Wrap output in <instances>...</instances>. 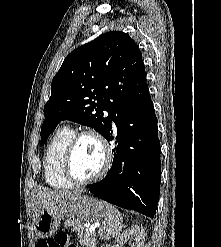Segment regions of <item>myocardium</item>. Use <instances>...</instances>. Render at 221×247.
<instances>
[{"label": "myocardium", "mask_w": 221, "mask_h": 247, "mask_svg": "<svg viewBox=\"0 0 221 247\" xmlns=\"http://www.w3.org/2000/svg\"><path fill=\"white\" fill-rule=\"evenodd\" d=\"M85 137H90L99 144L103 154V164L101 169L95 175L89 178L79 179L75 176L73 172L72 159L78 143L80 142L81 139ZM112 161H113L112 149L106 138L95 130L85 129L75 133L72 139L70 140L63 157V173L67 178V180L70 181L72 184L86 185L96 182L101 178H103L109 171L112 165Z\"/></svg>", "instance_id": "myocardium-1"}]
</instances>
